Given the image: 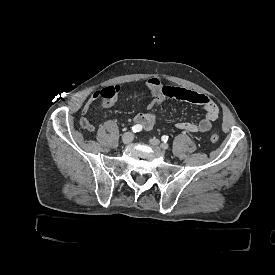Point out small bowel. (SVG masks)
Masks as SVG:
<instances>
[{"label": "small bowel", "mask_w": 275, "mask_h": 275, "mask_svg": "<svg viewBox=\"0 0 275 275\" xmlns=\"http://www.w3.org/2000/svg\"><path fill=\"white\" fill-rule=\"evenodd\" d=\"M156 84L160 88V93L156 97H151L147 107V111L140 112L134 117V122L143 130H151L157 120L158 110L166 98H175L192 103H198L203 106L205 116L199 122L183 121L176 124V128L190 133H204L211 129L213 123L218 119L219 108L208 96L200 94L188 88L178 86H164L161 84L159 78L152 77L145 83L148 88L149 85ZM98 93V92H97ZM93 94L88 98L83 108L90 109L92 104L97 100L96 95ZM117 97H113L107 105L112 107L116 104Z\"/></svg>", "instance_id": "obj_1"}]
</instances>
